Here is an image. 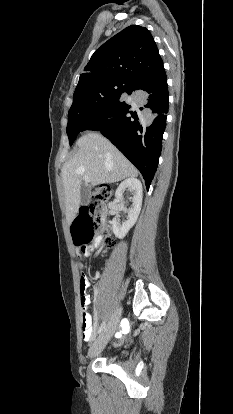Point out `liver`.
Masks as SVG:
<instances>
[{"label": "liver", "mask_w": 233, "mask_h": 414, "mask_svg": "<svg viewBox=\"0 0 233 414\" xmlns=\"http://www.w3.org/2000/svg\"><path fill=\"white\" fill-rule=\"evenodd\" d=\"M76 146L77 153L64 163L61 170L69 224L77 216L83 182L96 186L138 176V170L132 163L99 133L83 135Z\"/></svg>", "instance_id": "liver-1"}]
</instances>
